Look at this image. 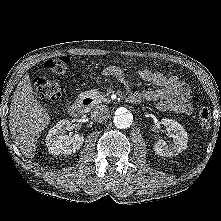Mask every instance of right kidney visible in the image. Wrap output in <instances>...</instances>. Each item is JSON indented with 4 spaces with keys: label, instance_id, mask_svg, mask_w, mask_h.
Returning a JSON list of instances; mask_svg holds the SVG:
<instances>
[{
    "label": "right kidney",
    "instance_id": "1",
    "mask_svg": "<svg viewBox=\"0 0 221 221\" xmlns=\"http://www.w3.org/2000/svg\"><path fill=\"white\" fill-rule=\"evenodd\" d=\"M70 126L71 122L63 119L49 130L46 137V146L49 153L54 155H70L81 148L84 142L82 135L76 134L72 136L65 134L70 129Z\"/></svg>",
    "mask_w": 221,
    "mask_h": 221
}]
</instances>
